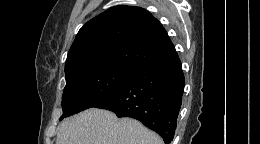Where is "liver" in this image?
I'll return each instance as SVG.
<instances>
[{
    "mask_svg": "<svg viewBox=\"0 0 260 144\" xmlns=\"http://www.w3.org/2000/svg\"><path fill=\"white\" fill-rule=\"evenodd\" d=\"M56 144H163L158 134L131 118L90 108L64 120Z\"/></svg>",
    "mask_w": 260,
    "mask_h": 144,
    "instance_id": "1",
    "label": "liver"
}]
</instances>
